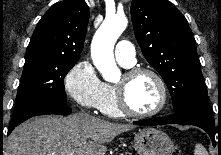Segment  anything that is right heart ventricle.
Segmentation results:
<instances>
[{"label": "right heart ventricle", "instance_id": "right-heart-ventricle-1", "mask_svg": "<svg viewBox=\"0 0 221 155\" xmlns=\"http://www.w3.org/2000/svg\"><path fill=\"white\" fill-rule=\"evenodd\" d=\"M104 89V98L101 102L99 110L109 117H122L123 113L118 107L114 86L109 83H104Z\"/></svg>", "mask_w": 221, "mask_h": 155}]
</instances>
